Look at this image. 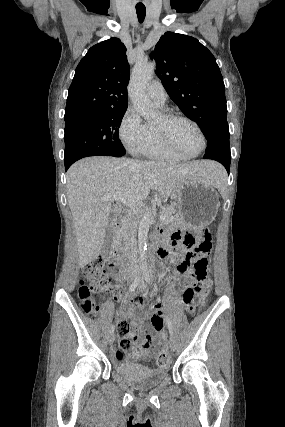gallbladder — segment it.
<instances>
[{
  "label": "gallbladder",
  "instance_id": "obj_1",
  "mask_svg": "<svg viewBox=\"0 0 285 427\" xmlns=\"http://www.w3.org/2000/svg\"><path fill=\"white\" fill-rule=\"evenodd\" d=\"M115 218V212L112 211L109 218V226L106 229V234L103 242V249L108 250L112 247L113 242V225L112 222Z\"/></svg>",
  "mask_w": 285,
  "mask_h": 427
}]
</instances>
